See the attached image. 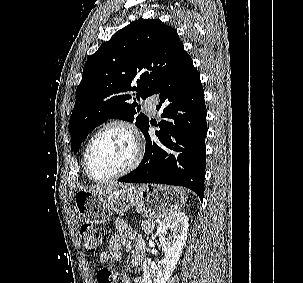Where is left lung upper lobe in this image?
<instances>
[{
    "mask_svg": "<svg viewBox=\"0 0 303 283\" xmlns=\"http://www.w3.org/2000/svg\"><path fill=\"white\" fill-rule=\"evenodd\" d=\"M184 46L177 31L159 19H140L115 33L87 60L76 90L69 121L71 150L110 118L122 119L142 131L149 118L137 100L151 96L176 62Z\"/></svg>",
    "mask_w": 303,
    "mask_h": 283,
    "instance_id": "1",
    "label": "left lung upper lobe"
}]
</instances>
